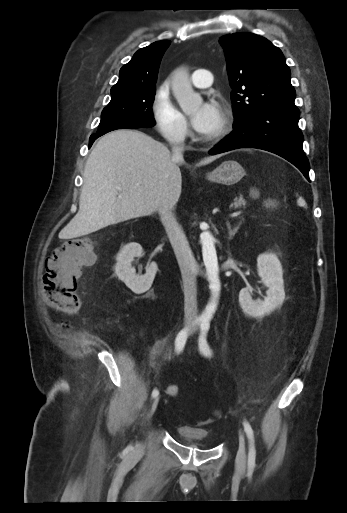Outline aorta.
Instances as JSON below:
<instances>
[{"mask_svg": "<svg viewBox=\"0 0 347 513\" xmlns=\"http://www.w3.org/2000/svg\"><path fill=\"white\" fill-rule=\"evenodd\" d=\"M172 91L178 101L182 111L186 114L191 113L202 104V98L196 94L192 88L189 74L185 68H178L173 73ZM203 261L208 274L210 290L212 292L211 301L202 313L201 318L209 321L217 307L218 298L221 290L219 280V267L215 249V239L210 232H204L201 235Z\"/></svg>", "mask_w": 347, "mask_h": 513, "instance_id": "obj_1", "label": "aorta"}]
</instances>
